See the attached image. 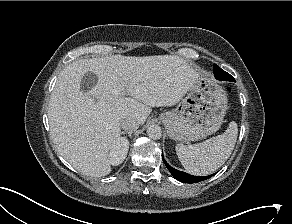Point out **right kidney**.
<instances>
[{
  "mask_svg": "<svg viewBox=\"0 0 292 224\" xmlns=\"http://www.w3.org/2000/svg\"><path fill=\"white\" fill-rule=\"evenodd\" d=\"M129 149V142L125 138H120L109 152L108 161L111 165L117 166L121 164Z\"/></svg>",
  "mask_w": 292,
  "mask_h": 224,
  "instance_id": "right-kidney-1",
  "label": "right kidney"
}]
</instances>
